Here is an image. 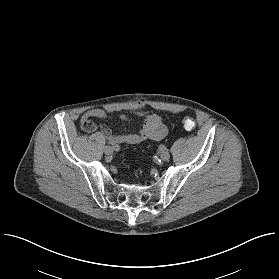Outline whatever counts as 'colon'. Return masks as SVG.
<instances>
[{
  "instance_id": "obj_1",
  "label": "colon",
  "mask_w": 279,
  "mask_h": 279,
  "mask_svg": "<svg viewBox=\"0 0 279 279\" xmlns=\"http://www.w3.org/2000/svg\"><path fill=\"white\" fill-rule=\"evenodd\" d=\"M182 125H183L185 130L190 131V130H192L196 127V122L194 121L193 118H191L189 116H184L182 118ZM82 129L86 132H91L92 131V127L88 123L82 124Z\"/></svg>"
}]
</instances>
